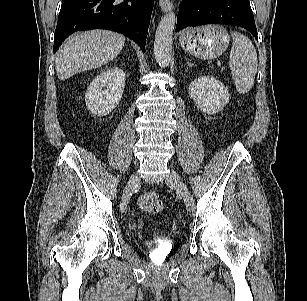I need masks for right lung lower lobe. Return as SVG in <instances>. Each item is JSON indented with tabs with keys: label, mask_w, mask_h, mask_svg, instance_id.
Here are the masks:
<instances>
[{
	"label": "right lung lower lobe",
	"mask_w": 307,
	"mask_h": 301,
	"mask_svg": "<svg viewBox=\"0 0 307 301\" xmlns=\"http://www.w3.org/2000/svg\"><path fill=\"white\" fill-rule=\"evenodd\" d=\"M153 0H63L54 35V52L68 35L95 28L133 39L144 51Z\"/></svg>",
	"instance_id": "1"
}]
</instances>
